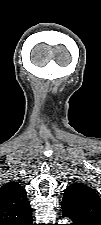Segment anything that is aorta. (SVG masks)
Listing matches in <instances>:
<instances>
[{
	"instance_id": "762f6f07",
	"label": "aorta",
	"mask_w": 101,
	"mask_h": 225,
	"mask_svg": "<svg viewBox=\"0 0 101 225\" xmlns=\"http://www.w3.org/2000/svg\"><path fill=\"white\" fill-rule=\"evenodd\" d=\"M68 220L67 219H63L60 221V224H67Z\"/></svg>"
}]
</instances>
